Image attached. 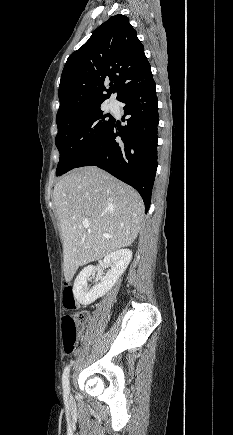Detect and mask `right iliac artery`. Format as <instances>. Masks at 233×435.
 <instances>
[{"label": "right iliac artery", "mask_w": 233, "mask_h": 435, "mask_svg": "<svg viewBox=\"0 0 233 435\" xmlns=\"http://www.w3.org/2000/svg\"><path fill=\"white\" fill-rule=\"evenodd\" d=\"M69 371H70V365L66 366L64 371H63V375H62V385H63V391H64V396L67 397L70 393V389H69Z\"/></svg>", "instance_id": "1"}]
</instances>
